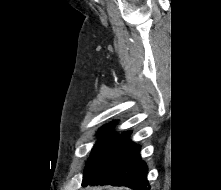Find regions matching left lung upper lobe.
Segmentation results:
<instances>
[{
    "instance_id": "left-lung-upper-lobe-1",
    "label": "left lung upper lobe",
    "mask_w": 221,
    "mask_h": 190,
    "mask_svg": "<svg viewBox=\"0 0 221 190\" xmlns=\"http://www.w3.org/2000/svg\"><path fill=\"white\" fill-rule=\"evenodd\" d=\"M115 122H111L101 129H99L98 134L102 137L96 142L92 153L88 159L87 165L84 170V175L89 174L94 168L96 162L99 160L103 152L107 149V147L112 143V141L119 135L116 132H112L111 129L115 126Z\"/></svg>"
}]
</instances>
